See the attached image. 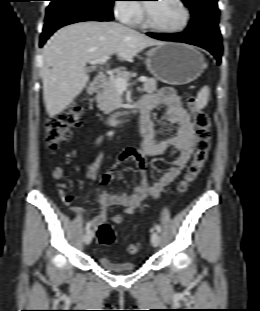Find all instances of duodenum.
Here are the masks:
<instances>
[{"label": "duodenum", "mask_w": 260, "mask_h": 311, "mask_svg": "<svg viewBox=\"0 0 260 311\" xmlns=\"http://www.w3.org/2000/svg\"><path fill=\"white\" fill-rule=\"evenodd\" d=\"M107 82V76L105 74H100L96 77L94 85L91 87L89 94L94 96L97 89ZM134 110H141V102L134 103L131 107L121 109L120 111L110 115L106 119V123L110 125H116L124 122Z\"/></svg>", "instance_id": "410a0bca"}]
</instances>
